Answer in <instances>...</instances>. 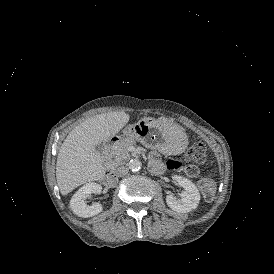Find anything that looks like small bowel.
Listing matches in <instances>:
<instances>
[{
  "label": "small bowel",
  "mask_w": 274,
  "mask_h": 274,
  "mask_svg": "<svg viewBox=\"0 0 274 274\" xmlns=\"http://www.w3.org/2000/svg\"><path fill=\"white\" fill-rule=\"evenodd\" d=\"M150 163H151V166L152 168L157 172L159 171L158 170V167L159 166H162L160 164V160L158 158V155L156 153H152L151 156H150Z\"/></svg>",
  "instance_id": "c3829d8e"
}]
</instances>
